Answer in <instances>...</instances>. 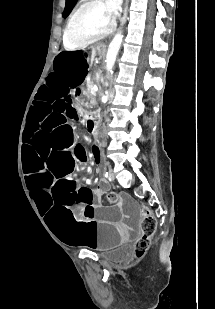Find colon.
<instances>
[{"instance_id": "5ec220e1", "label": "colon", "mask_w": 215, "mask_h": 309, "mask_svg": "<svg viewBox=\"0 0 215 309\" xmlns=\"http://www.w3.org/2000/svg\"><path fill=\"white\" fill-rule=\"evenodd\" d=\"M117 200V195L114 192L108 194V201L110 204H115ZM141 229L143 235L134 242L133 249L136 255L145 254L149 247V240L156 230V220L151 215L148 209L143 211Z\"/></svg>"}]
</instances>
